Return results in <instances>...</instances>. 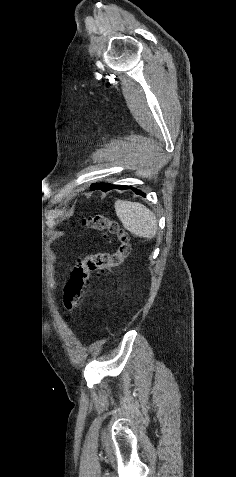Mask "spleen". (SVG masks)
Segmentation results:
<instances>
[{"label": "spleen", "mask_w": 236, "mask_h": 477, "mask_svg": "<svg viewBox=\"0 0 236 477\" xmlns=\"http://www.w3.org/2000/svg\"><path fill=\"white\" fill-rule=\"evenodd\" d=\"M115 211L127 229L134 236L154 238L157 232V220L153 212L143 204L126 200L115 202Z\"/></svg>", "instance_id": "3e777b00"}]
</instances>
